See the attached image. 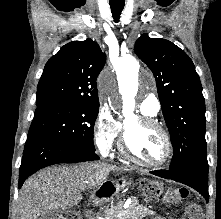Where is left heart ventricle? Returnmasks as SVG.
I'll list each match as a JSON object with an SVG mask.
<instances>
[{
    "instance_id": "b2bd125f",
    "label": "left heart ventricle",
    "mask_w": 221,
    "mask_h": 219,
    "mask_svg": "<svg viewBox=\"0 0 221 219\" xmlns=\"http://www.w3.org/2000/svg\"><path fill=\"white\" fill-rule=\"evenodd\" d=\"M127 143L132 153L146 162H158L165 152L162 134L151 127L141 125L137 119L125 123Z\"/></svg>"
}]
</instances>
